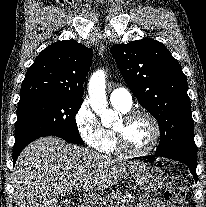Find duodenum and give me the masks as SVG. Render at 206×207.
Returning <instances> with one entry per match:
<instances>
[{
  "instance_id": "1",
  "label": "duodenum",
  "mask_w": 206,
  "mask_h": 207,
  "mask_svg": "<svg viewBox=\"0 0 206 207\" xmlns=\"http://www.w3.org/2000/svg\"><path fill=\"white\" fill-rule=\"evenodd\" d=\"M76 207H86V201L84 199H80L75 201Z\"/></svg>"
}]
</instances>
